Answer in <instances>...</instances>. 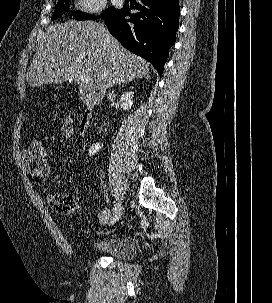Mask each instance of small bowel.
Returning a JSON list of instances; mask_svg holds the SVG:
<instances>
[{
    "label": "small bowel",
    "mask_w": 272,
    "mask_h": 303,
    "mask_svg": "<svg viewBox=\"0 0 272 303\" xmlns=\"http://www.w3.org/2000/svg\"><path fill=\"white\" fill-rule=\"evenodd\" d=\"M21 160H22L23 167L28 175L35 177V178L42 179V180L49 179L50 171H48L46 173H40L34 168L33 161H32V151H31L30 145H28V147L22 151Z\"/></svg>",
    "instance_id": "obj_1"
}]
</instances>
